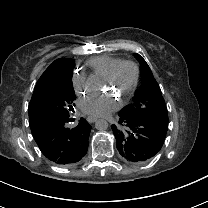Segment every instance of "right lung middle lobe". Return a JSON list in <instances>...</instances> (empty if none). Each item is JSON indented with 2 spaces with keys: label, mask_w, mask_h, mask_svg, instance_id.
<instances>
[{
  "label": "right lung middle lobe",
  "mask_w": 208,
  "mask_h": 208,
  "mask_svg": "<svg viewBox=\"0 0 208 208\" xmlns=\"http://www.w3.org/2000/svg\"><path fill=\"white\" fill-rule=\"evenodd\" d=\"M74 61L68 60L52 71L30 101L29 119H47L53 116L67 117L73 111L76 96L72 85Z\"/></svg>",
  "instance_id": "dd1d6c3e"
}]
</instances>
